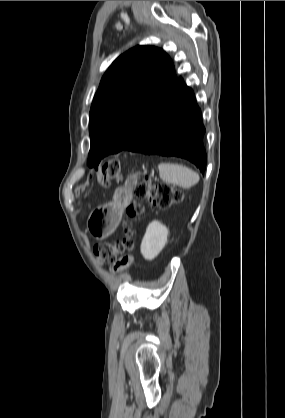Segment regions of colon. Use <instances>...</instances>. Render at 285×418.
<instances>
[{
	"label": "colon",
	"instance_id": "5ec220e1",
	"mask_svg": "<svg viewBox=\"0 0 285 418\" xmlns=\"http://www.w3.org/2000/svg\"><path fill=\"white\" fill-rule=\"evenodd\" d=\"M91 177H99L105 186L109 185L113 179L117 181L123 179L118 160L108 161L103 167L93 172ZM136 196L139 200L148 201L154 207L169 209L181 201L182 192L164 183L153 184L145 180L137 186ZM143 211L144 206L142 203H133L127 207L126 216L128 219H136L141 216ZM123 252H127L128 254L119 260L118 266L115 267L116 270L128 268L132 259L135 257L133 232L127 225L124 227V236L121 240L116 242H102L94 249V255L100 262H113Z\"/></svg>",
	"mask_w": 285,
	"mask_h": 418
}]
</instances>
